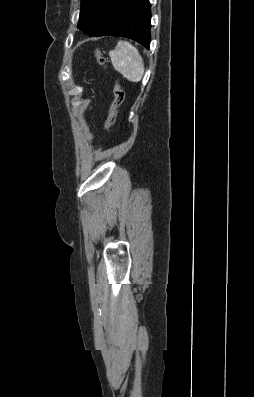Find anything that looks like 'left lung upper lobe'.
<instances>
[{
	"mask_svg": "<svg viewBox=\"0 0 254 397\" xmlns=\"http://www.w3.org/2000/svg\"><path fill=\"white\" fill-rule=\"evenodd\" d=\"M108 6L107 0H81L78 28L91 34L101 21Z\"/></svg>",
	"mask_w": 254,
	"mask_h": 397,
	"instance_id": "left-lung-upper-lobe-1",
	"label": "left lung upper lobe"
}]
</instances>
